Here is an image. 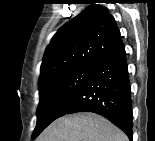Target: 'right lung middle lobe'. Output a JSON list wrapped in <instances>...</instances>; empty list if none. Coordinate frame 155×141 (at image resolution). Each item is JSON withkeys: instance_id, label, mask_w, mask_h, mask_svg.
<instances>
[{"instance_id": "dd1d6c3e", "label": "right lung middle lobe", "mask_w": 155, "mask_h": 141, "mask_svg": "<svg viewBox=\"0 0 155 141\" xmlns=\"http://www.w3.org/2000/svg\"><path fill=\"white\" fill-rule=\"evenodd\" d=\"M93 70L94 68H75L55 74L39 83L40 100L33 139L59 118L61 111L82 88Z\"/></svg>"}]
</instances>
